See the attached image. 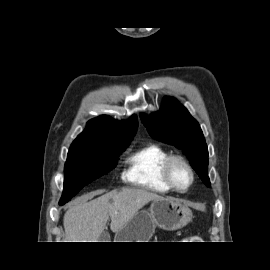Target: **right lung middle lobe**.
<instances>
[{
    "label": "right lung middle lobe",
    "mask_w": 270,
    "mask_h": 270,
    "mask_svg": "<svg viewBox=\"0 0 270 270\" xmlns=\"http://www.w3.org/2000/svg\"><path fill=\"white\" fill-rule=\"evenodd\" d=\"M129 144L71 145L65 163L64 190L59 204H65L85 185L115 168L118 156Z\"/></svg>",
    "instance_id": "right-lung-middle-lobe-1"
}]
</instances>
